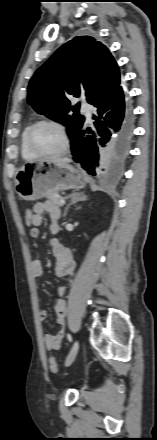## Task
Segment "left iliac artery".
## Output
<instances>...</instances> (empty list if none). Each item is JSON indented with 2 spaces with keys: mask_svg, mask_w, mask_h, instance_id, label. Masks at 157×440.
<instances>
[{
  "mask_svg": "<svg viewBox=\"0 0 157 440\" xmlns=\"http://www.w3.org/2000/svg\"><path fill=\"white\" fill-rule=\"evenodd\" d=\"M68 339H69V341H72V337L70 334H68Z\"/></svg>",
  "mask_w": 157,
  "mask_h": 440,
  "instance_id": "obj_1",
  "label": "left iliac artery"
}]
</instances>
